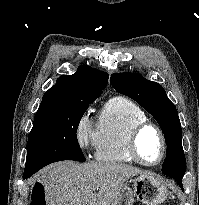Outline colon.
Listing matches in <instances>:
<instances>
[{"instance_id": "obj_1", "label": "colon", "mask_w": 199, "mask_h": 205, "mask_svg": "<svg viewBox=\"0 0 199 205\" xmlns=\"http://www.w3.org/2000/svg\"><path fill=\"white\" fill-rule=\"evenodd\" d=\"M31 205H46L44 195L42 193H36Z\"/></svg>"}]
</instances>
